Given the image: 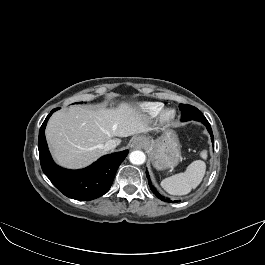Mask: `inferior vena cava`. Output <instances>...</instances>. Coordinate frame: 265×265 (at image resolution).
<instances>
[{
    "instance_id": "obj_1",
    "label": "inferior vena cava",
    "mask_w": 265,
    "mask_h": 265,
    "mask_svg": "<svg viewBox=\"0 0 265 265\" xmlns=\"http://www.w3.org/2000/svg\"><path fill=\"white\" fill-rule=\"evenodd\" d=\"M117 146V143L114 140H108L104 145H103V149L105 151H109L114 149Z\"/></svg>"
}]
</instances>
